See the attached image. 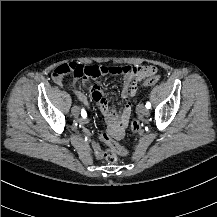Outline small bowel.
Returning a JSON list of instances; mask_svg holds the SVG:
<instances>
[{
  "mask_svg": "<svg viewBox=\"0 0 217 217\" xmlns=\"http://www.w3.org/2000/svg\"><path fill=\"white\" fill-rule=\"evenodd\" d=\"M147 76V74L141 72L136 74H126L121 86V97L125 99L129 96H134L137 92V82L144 81ZM57 83L62 85L63 80L57 81ZM85 84L89 87L91 99L96 102L101 107V110L106 114L107 120L110 124L109 131L113 134V139L117 142V139L122 137L123 132L130 121L132 112L131 103L127 102L118 115L113 109L110 110L108 108L107 98L99 84L90 83L88 79L85 80ZM79 96L82 95L79 94ZM79 122L81 123L82 119H79ZM100 139L104 142V135H102ZM91 148L96 158H103L104 150L102 149L100 141H93Z\"/></svg>",
  "mask_w": 217,
  "mask_h": 217,
  "instance_id": "c3829d8e",
  "label": "small bowel"
}]
</instances>
